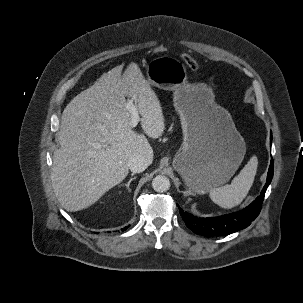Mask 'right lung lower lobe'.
Listing matches in <instances>:
<instances>
[{
    "label": "right lung lower lobe",
    "instance_id": "right-lung-lower-lobe-1",
    "mask_svg": "<svg viewBox=\"0 0 303 303\" xmlns=\"http://www.w3.org/2000/svg\"><path fill=\"white\" fill-rule=\"evenodd\" d=\"M128 228V226H126L124 229L126 230ZM123 230V229H122Z\"/></svg>",
    "mask_w": 303,
    "mask_h": 303
}]
</instances>
